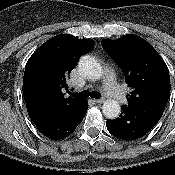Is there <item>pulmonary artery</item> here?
I'll return each mask as SVG.
<instances>
[{
    "mask_svg": "<svg viewBox=\"0 0 175 175\" xmlns=\"http://www.w3.org/2000/svg\"><path fill=\"white\" fill-rule=\"evenodd\" d=\"M104 78V87L107 94L115 98L120 103H123L125 100L124 90L121 86L116 83L115 74L112 70L105 69L103 72Z\"/></svg>",
    "mask_w": 175,
    "mask_h": 175,
    "instance_id": "obj_1",
    "label": "pulmonary artery"
}]
</instances>
